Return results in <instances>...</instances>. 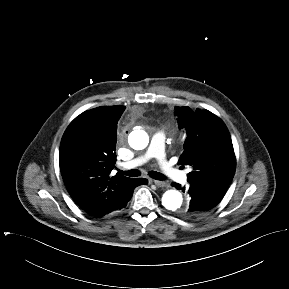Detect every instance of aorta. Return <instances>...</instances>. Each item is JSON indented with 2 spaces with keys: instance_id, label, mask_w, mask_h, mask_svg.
Segmentation results:
<instances>
[{
  "instance_id": "aorta-1",
  "label": "aorta",
  "mask_w": 289,
  "mask_h": 289,
  "mask_svg": "<svg viewBox=\"0 0 289 289\" xmlns=\"http://www.w3.org/2000/svg\"><path fill=\"white\" fill-rule=\"evenodd\" d=\"M129 145L135 150H142L147 147L149 137L143 130L133 132L128 139ZM162 205L170 211H178L183 206L182 194L177 190H168L163 194Z\"/></svg>"
}]
</instances>
